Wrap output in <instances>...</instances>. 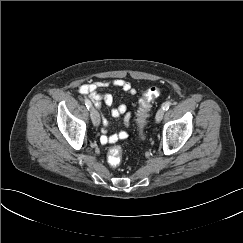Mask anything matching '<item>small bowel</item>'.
I'll list each match as a JSON object with an SVG mask.
<instances>
[{"mask_svg":"<svg viewBox=\"0 0 243 243\" xmlns=\"http://www.w3.org/2000/svg\"><path fill=\"white\" fill-rule=\"evenodd\" d=\"M107 87L120 88L128 95H135L136 93L132 85L123 79H115L112 81H97L92 83L81 84L78 87V91L80 94H82L83 96L91 100L97 108H100L102 103H105L107 106L113 105L114 99L111 94L99 93V89L107 88ZM111 115L115 118L122 117L124 126L125 127L129 126L131 113L127 111V107L125 104L122 103L116 107H113L111 109ZM102 123H103V128H102L103 135L101 136L100 139L101 143L114 144L120 140H124L127 138L128 134L126 131H120L118 133L108 135L107 134L108 121L106 119H103Z\"/></svg>","mask_w":243,"mask_h":243,"instance_id":"c3829d8e","label":"small bowel"}]
</instances>
